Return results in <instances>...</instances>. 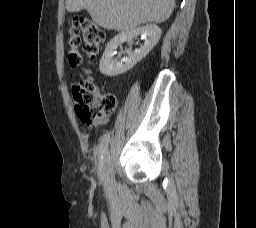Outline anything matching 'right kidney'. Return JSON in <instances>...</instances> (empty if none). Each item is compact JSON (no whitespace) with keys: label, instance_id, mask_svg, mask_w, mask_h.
I'll return each mask as SVG.
<instances>
[{"label":"right kidney","instance_id":"1","mask_svg":"<svg viewBox=\"0 0 256 228\" xmlns=\"http://www.w3.org/2000/svg\"><path fill=\"white\" fill-rule=\"evenodd\" d=\"M139 35L145 39L143 45L138 49H135L133 52L131 50H127V56L121 60L113 59L115 50L119 45L126 41L131 44L132 39ZM160 37L161 29L155 24H147L142 27L122 31L108 43L100 60V72L108 77L118 76L127 72L154 48Z\"/></svg>","mask_w":256,"mask_h":228}]
</instances>
